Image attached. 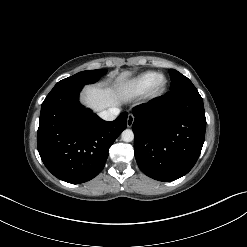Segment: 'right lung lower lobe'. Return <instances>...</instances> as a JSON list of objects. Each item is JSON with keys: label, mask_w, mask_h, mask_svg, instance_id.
Listing matches in <instances>:
<instances>
[{"label": "right lung lower lobe", "mask_w": 247, "mask_h": 247, "mask_svg": "<svg viewBox=\"0 0 247 247\" xmlns=\"http://www.w3.org/2000/svg\"><path fill=\"white\" fill-rule=\"evenodd\" d=\"M83 86H57L41 106L37 146L46 168L58 179L79 184L104 168L108 150L127 127L126 112L106 122L79 103Z\"/></svg>", "instance_id": "98d812e1"}]
</instances>
